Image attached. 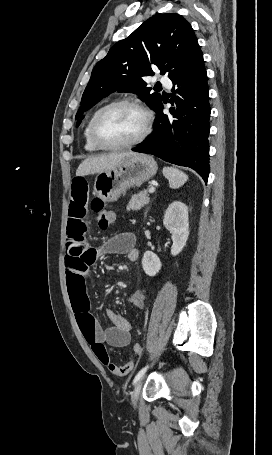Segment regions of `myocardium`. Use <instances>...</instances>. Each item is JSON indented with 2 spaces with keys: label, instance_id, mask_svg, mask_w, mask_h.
I'll list each match as a JSON object with an SVG mask.
<instances>
[{
  "label": "myocardium",
  "instance_id": "1",
  "mask_svg": "<svg viewBox=\"0 0 272 455\" xmlns=\"http://www.w3.org/2000/svg\"><path fill=\"white\" fill-rule=\"evenodd\" d=\"M121 105H128L136 108L143 116V129L141 133L133 140L122 143V144H116V145H111V144H106L103 141L100 140V138L97 135V122L100 118V116L107 111L108 109L115 107V106H121ZM151 124H152V118L149 110L141 104L139 101L133 99V98H119L115 99L101 108H99L94 115L91 118L90 124H89V135L92 143L100 150H105V151H118V150H124V149H129L132 147H135L142 143L147 136L149 135L151 131Z\"/></svg>",
  "mask_w": 272,
  "mask_h": 455
}]
</instances>
